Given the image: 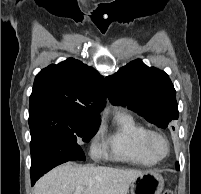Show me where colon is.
<instances>
[{
    "instance_id": "colon-1",
    "label": "colon",
    "mask_w": 201,
    "mask_h": 194,
    "mask_svg": "<svg viewBox=\"0 0 201 194\" xmlns=\"http://www.w3.org/2000/svg\"><path fill=\"white\" fill-rule=\"evenodd\" d=\"M162 194H172V193L169 190H166Z\"/></svg>"
}]
</instances>
